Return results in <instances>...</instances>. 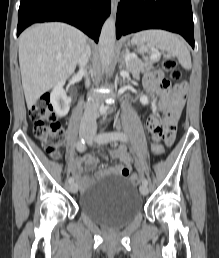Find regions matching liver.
Instances as JSON below:
<instances>
[{"mask_svg": "<svg viewBox=\"0 0 219 258\" xmlns=\"http://www.w3.org/2000/svg\"><path fill=\"white\" fill-rule=\"evenodd\" d=\"M86 36L64 23L36 24L19 37V64L28 108L75 71Z\"/></svg>", "mask_w": 219, "mask_h": 258, "instance_id": "obj_1", "label": "liver"}]
</instances>
